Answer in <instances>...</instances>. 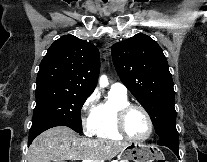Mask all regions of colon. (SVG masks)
Here are the masks:
<instances>
[{"instance_id":"5ec220e1","label":"colon","mask_w":207,"mask_h":162,"mask_svg":"<svg viewBox=\"0 0 207 162\" xmlns=\"http://www.w3.org/2000/svg\"><path fill=\"white\" fill-rule=\"evenodd\" d=\"M157 162H169L167 160H158Z\"/></svg>"}]
</instances>
